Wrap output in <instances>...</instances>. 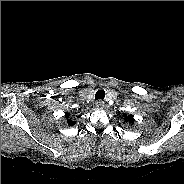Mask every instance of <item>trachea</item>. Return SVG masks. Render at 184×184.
I'll use <instances>...</instances> for the list:
<instances>
[{
  "instance_id": "1",
  "label": "trachea",
  "mask_w": 184,
  "mask_h": 184,
  "mask_svg": "<svg viewBox=\"0 0 184 184\" xmlns=\"http://www.w3.org/2000/svg\"><path fill=\"white\" fill-rule=\"evenodd\" d=\"M105 97V91L103 89H98L95 93L96 100H103Z\"/></svg>"
}]
</instances>
